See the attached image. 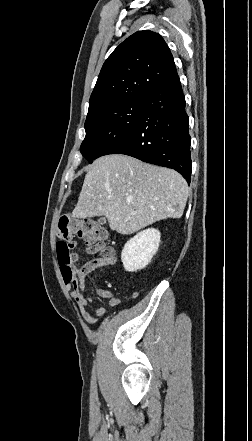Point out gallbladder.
<instances>
[{
    "instance_id": "obj_1",
    "label": "gallbladder",
    "mask_w": 252,
    "mask_h": 441,
    "mask_svg": "<svg viewBox=\"0 0 252 441\" xmlns=\"http://www.w3.org/2000/svg\"><path fill=\"white\" fill-rule=\"evenodd\" d=\"M98 223H99V224H105V223H106V218H105L104 216L100 217V218L98 219Z\"/></svg>"
}]
</instances>
